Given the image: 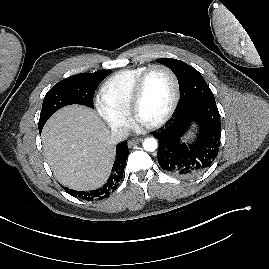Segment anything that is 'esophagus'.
Returning <instances> with one entry per match:
<instances>
[{"instance_id": "1", "label": "esophagus", "mask_w": 269, "mask_h": 269, "mask_svg": "<svg viewBox=\"0 0 269 269\" xmlns=\"http://www.w3.org/2000/svg\"><path fill=\"white\" fill-rule=\"evenodd\" d=\"M142 140H143L142 138L131 139V140L128 141V147L131 148L134 145H136L139 142H141Z\"/></svg>"}]
</instances>
